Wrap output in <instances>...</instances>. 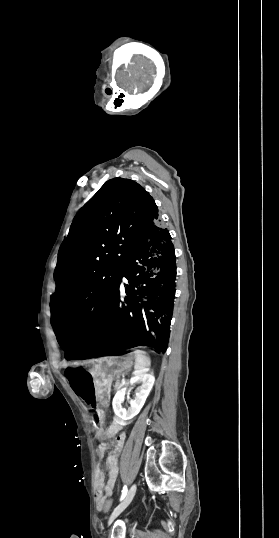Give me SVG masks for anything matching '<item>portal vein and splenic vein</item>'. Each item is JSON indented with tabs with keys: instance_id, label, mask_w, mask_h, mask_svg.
<instances>
[{
	"instance_id": "portal-vein-and-splenic-vein-1",
	"label": "portal vein and splenic vein",
	"mask_w": 279,
	"mask_h": 538,
	"mask_svg": "<svg viewBox=\"0 0 279 538\" xmlns=\"http://www.w3.org/2000/svg\"><path fill=\"white\" fill-rule=\"evenodd\" d=\"M122 383H126V377H122Z\"/></svg>"
}]
</instances>
